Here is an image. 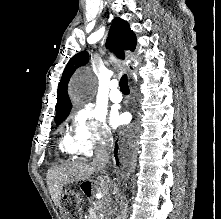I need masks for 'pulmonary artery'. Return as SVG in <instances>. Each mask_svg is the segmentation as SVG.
Wrapping results in <instances>:
<instances>
[{
  "label": "pulmonary artery",
  "mask_w": 221,
  "mask_h": 219,
  "mask_svg": "<svg viewBox=\"0 0 221 219\" xmlns=\"http://www.w3.org/2000/svg\"><path fill=\"white\" fill-rule=\"evenodd\" d=\"M119 83L116 80L110 83V93L109 98L114 103H120L123 99L121 92L118 89Z\"/></svg>",
  "instance_id": "pulmonary-artery-1"
}]
</instances>
